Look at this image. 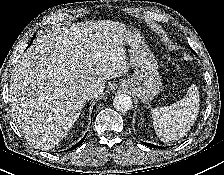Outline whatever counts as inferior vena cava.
<instances>
[{"label": "inferior vena cava", "instance_id": "obj_1", "mask_svg": "<svg viewBox=\"0 0 224 175\" xmlns=\"http://www.w3.org/2000/svg\"><path fill=\"white\" fill-rule=\"evenodd\" d=\"M98 94H99V92L96 89L88 88L83 92L82 98L84 101H88L91 98L96 97Z\"/></svg>", "mask_w": 224, "mask_h": 175}]
</instances>
